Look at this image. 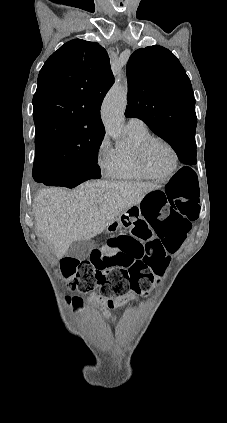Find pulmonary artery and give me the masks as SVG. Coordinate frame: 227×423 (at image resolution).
<instances>
[{
    "mask_svg": "<svg viewBox=\"0 0 227 423\" xmlns=\"http://www.w3.org/2000/svg\"><path fill=\"white\" fill-rule=\"evenodd\" d=\"M127 130L146 129L145 123L138 118H129L126 123Z\"/></svg>",
    "mask_w": 227,
    "mask_h": 423,
    "instance_id": "pulmonary-artery-1",
    "label": "pulmonary artery"
}]
</instances>
